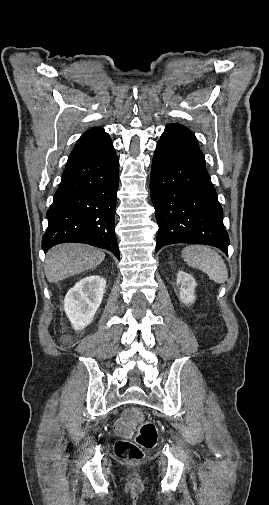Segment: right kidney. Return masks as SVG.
I'll list each match as a JSON object with an SVG mask.
<instances>
[{"label": "right kidney", "instance_id": "1", "mask_svg": "<svg viewBox=\"0 0 269 505\" xmlns=\"http://www.w3.org/2000/svg\"><path fill=\"white\" fill-rule=\"evenodd\" d=\"M106 280L93 275L81 279L71 288L64 299V310L75 330L88 326L100 306Z\"/></svg>", "mask_w": 269, "mask_h": 505}]
</instances>
